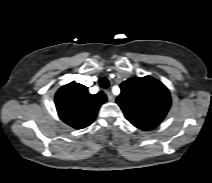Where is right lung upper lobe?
Returning <instances> with one entry per match:
<instances>
[{
    "instance_id": "1",
    "label": "right lung upper lobe",
    "mask_w": 212,
    "mask_h": 183,
    "mask_svg": "<svg viewBox=\"0 0 212 183\" xmlns=\"http://www.w3.org/2000/svg\"><path fill=\"white\" fill-rule=\"evenodd\" d=\"M106 100L103 92L91 95L86 86L75 82L62 86L55 96L60 118L75 129L89 126Z\"/></svg>"
}]
</instances>
